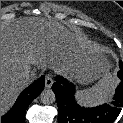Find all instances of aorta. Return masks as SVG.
Instances as JSON below:
<instances>
[{"instance_id": "762f6f07", "label": "aorta", "mask_w": 123, "mask_h": 123, "mask_svg": "<svg viewBox=\"0 0 123 123\" xmlns=\"http://www.w3.org/2000/svg\"><path fill=\"white\" fill-rule=\"evenodd\" d=\"M40 99L43 104H53L56 101L55 94L52 90L46 89L43 90L40 94Z\"/></svg>"}]
</instances>
